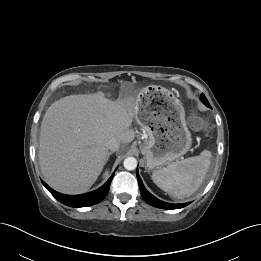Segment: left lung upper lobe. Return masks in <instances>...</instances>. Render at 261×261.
Listing matches in <instances>:
<instances>
[{"label": "left lung upper lobe", "instance_id": "obj_1", "mask_svg": "<svg viewBox=\"0 0 261 261\" xmlns=\"http://www.w3.org/2000/svg\"><path fill=\"white\" fill-rule=\"evenodd\" d=\"M200 99L206 106L210 107V104L203 93L200 95Z\"/></svg>", "mask_w": 261, "mask_h": 261}]
</instances>
